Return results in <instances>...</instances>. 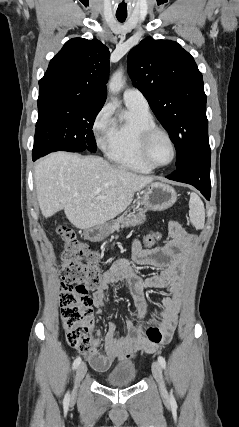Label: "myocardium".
I'll return each instance as SVG.
<instances>
[{
	"mask_svg": "<svg viewBox=\"0 0 239 427\" xmlns=\"http://www.w3.org/2000/svg\"><path fill=\"white\" fill-rule=\"evenodd\" d=\"M157 135H162L164 136L168 142L170 143L171 149H172V156L171 159L165 163V164H156L154 163L149 155V150H150V146L151 143L153 141V139L157 136ZM140 155L142 157V159L144 160V162L146 164H148L151 168L153 169H158V168H164L169 166L170 164L173 163V161L176 158L177 155V148H176V144L174 139L172 138V136L164 129L159 128V127H151L148 128L146 130L143 131V133L141 134V138H140Z\"/></svg>",
	"mask_w": 239,
	"mask_h": 427,
	"instance_id": "1",
	"label": "myocardium"
}]
</instances>
